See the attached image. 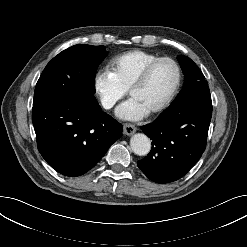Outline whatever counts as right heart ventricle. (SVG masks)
<instances>
[{
    "mask_svg": "<svg viewBox=\"0 0 247 247\" xmlns=\"http://www.w3.org/2000/svg\"><path fill=\"white\" fill-rule=\"evenodd\" d=\"M156 58L157 55L142 50L123 53L110 63L112 77L122 88L128 90L143 68Z\"/></svg>",
    "mask_w": 247,
    "mask_h": 247,
    "instance_id": "1",
    "label": "right heart ventricle"
}]
</instances>
